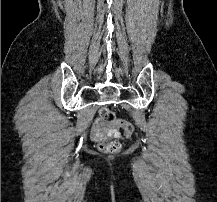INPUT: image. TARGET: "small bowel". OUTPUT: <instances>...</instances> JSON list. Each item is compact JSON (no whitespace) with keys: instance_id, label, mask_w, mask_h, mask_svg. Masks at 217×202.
Wrapping results in <instances>:
<instances>
[{"instance_id":"small-bowel-1","label":"small bowel","mask_w":217,"mask_h":202,"mask_svg":"<svg viewBox=\"0 0 217 202\" xmlns=\"http://www.w3.org/2000/svg\"><path fill=\"white\" fill-rule=\"evenodd\" d=\"M120 136L119 128H110V125L96 117L90 128V139L94 143H100L111 137Z\"/></svg>"}]
</instances>
